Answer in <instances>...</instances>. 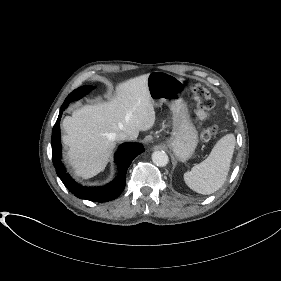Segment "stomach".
Wrapping results in <instances>:
<instances>
[{"label": "stomach", "instance_id": "0dacf381", "mask_svg": "<svg viewBox=\"0 0 281 281\" xmlns=\"http://www.w3.org/2000/svg\"><path fill=\"white\" fill-rule=\"evenodd\" d=\"M147 83L152 104L161 106L165 103L172 112V133L166 141L167 146L179 160L190 159L198 145V133L180 94L183 81L170 73L154 71L149 73Z\"/></svg>", "mask_w": 281, "mask_h": 281}]
</instances>
